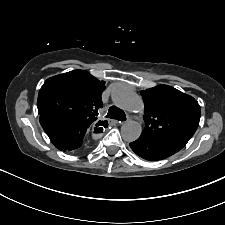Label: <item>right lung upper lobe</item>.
I'll return each instance as SVG.
<instances>
[{"instance_id": "1", "label": "right lung upper lobe", "mask_w": 225, "mask_h": 225, "mask_svg": "<svg viewBox=\"0 0 225 225\" xmlns=\"http://www.w3.org/2000/svg\"><path fill=\"white\" fill-rule=\"evenodd\" d=\"M104 89V81L84 70L53 76L45 81L39 91L38 113L78 119L98 127L102 122L96 123V116L103 106L101 94Z\"/></svg>"}]
</instances>
